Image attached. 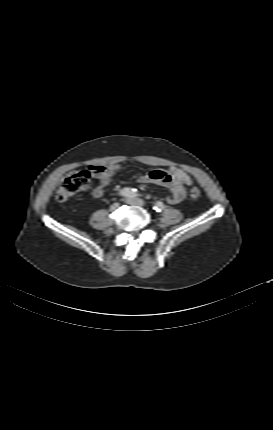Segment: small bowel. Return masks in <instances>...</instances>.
<instances>
[{
  "mask_svg": "<svg viewBox=\"0 0 273 430\" xmlns=\"http://www.w3.org/2000/svg\"><path fill=\"white\" fill-rule=\"evenodd\" d=\"M122 168V164H91L88 166V173L99 181V185L92 191L95 198L104 195L105 187L109 185L111 178ZM140 183H155L167 187L171 194L166 198L169 204H178L186 196V187L191 186L193 181L189 174L179 168L155 169L139 177Z\"/></svg>",
  "mask_w": 273,
  "mask_h": 430,
  "instance_id": "obj_1",
  "label": "small bowel"
}]
</instances>
